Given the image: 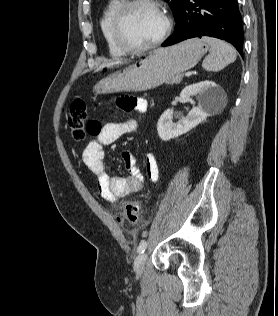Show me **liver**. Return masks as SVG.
Returning <instances> with one entry per match:
<instances>
[{"label":"liver","instance_id":"6515ba94","mask_svg":"<svg viewBox=\"0 0 278 316\" xmlns=\"http://www.w3.org/2000/svg\"><path fill=\"white\" fill-rule=\"evenodd\" d=\"M118 63H119V62L104 63V64H102V65H100V66L98 67L97 71L102 70V69L105 68V67L114 66V65H116V64H118Z\"/></svg>","mask_w":278,"mask_h":316}]
</instances>
